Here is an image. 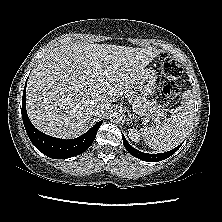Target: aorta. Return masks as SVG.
Here are the masks:
<instances>
[{"label":"aorta","mask_w":222,"mask_h":222,"mask_svg":"<svg viewBox=\"0 0 222 222\" xmlns=\"http://www.w3.org/2000/svg\"><path fill=\"white\" fill-rule=\"evenodd\" d=\"M123 119L122 113L120 111L114 110L110 113V120L114 123H119Z\"/></svg>","instance_id":"762f6f07"}]
</instances>
